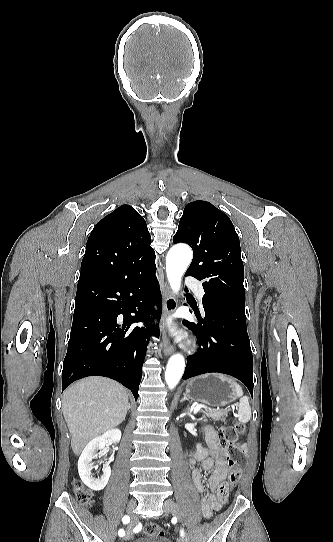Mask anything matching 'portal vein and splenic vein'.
Here are the masks:
<instances>
[{"instance_id": "obj_1", "label": "portal vein and splenic vein", "mask_w": 333, "mask_h": 542, "mask_svg": "<svg viewBox=\"0 0 333 542\" xmlns=\"http://www.w3.org/2000/svg\"><path fill=\"white\" fill-rule=\"evenodd\" d=\"M201 408H205V406H196V408L194 410V414H197V412H199V410H201ZM205 410H208V408H205Z\"/></svg>"}]
</instances>
